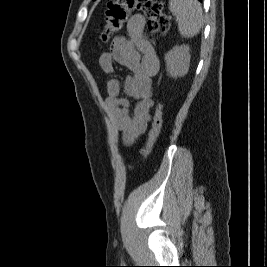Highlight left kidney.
<instances>
[{"label":"left kidney","mask_w":267,"mask_h":267,"mask_svg":"<svg viewBox=\"0 0 267 267\" xmlns=\"http://www.w3.org/2000/svg\"><path fill=\"white\" fill-rule=\"evenodd\" d=\"M190 48L188 45L175 46L165 55L166 70L173 78L182 77L188 73L190 65Z\"/></svg>","instance_id":"obj_1"}]
</instances>
